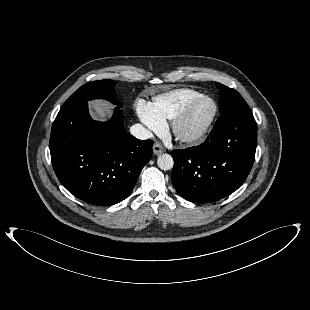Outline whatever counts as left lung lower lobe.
<instances>
[{
    "label": "left lung lower lobe",
    "instance_id": "1",
    "mask_svg": "<svg viewBox=\"0 0 310 310\" xmlns=\"http://www.w3.org/2000/svg\"><path fill=\"white\" fill-rule=\"evenodd\" d=\"M256 125L250 110L216 122L199 146L173 150L176 191L194 203H209L237 190L255 158Z\"/></svg>",
    "mask_w": 310,
    "mask_h": 310
}]
</instances>
